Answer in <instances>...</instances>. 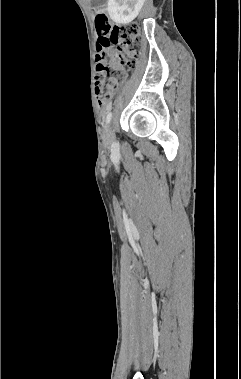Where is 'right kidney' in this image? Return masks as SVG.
I'll return each instance as SVG.
<instances>
[{
	"instance_id": "ca27d5eb",
	"label": "right kidney",
	"mask_w": 241,
	"mask_h": 379,
	"mask_svg": "<svg viewBox=\"0 0 241 379\" xmlns=\"http://www.w3.org/2000/svg\"><path fill=\"white\" fill-rule=\"evenodd\" d=\"M145 0H108L107 11L117 24H128L139 14Z\"/></svg>"
}]
</instances>
